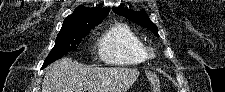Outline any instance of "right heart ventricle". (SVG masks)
Wrapping results in <instances>:
<instances>
[{
  "instance_id": "1",
  "label": "right heart ventricle",
  "mask_w": 225,
  "mask_h": 92,
  "mask_svg": "<svg viewBox=\"0 0 225 92\" xmlns=\"http://www.w3.org/2000/svg\"><path fill=\"white\" fill-rule=\"evenodd\" d=\"M99 56L112 65H137L147 60L142 37L126 24L110 27L98 41Z\"/></svg>"
}]
</instances>
